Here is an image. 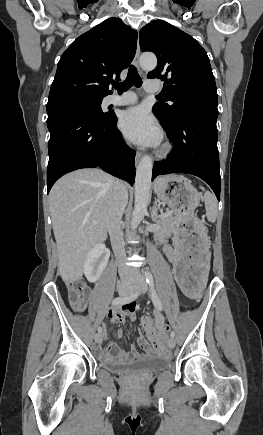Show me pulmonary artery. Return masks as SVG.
I'll return each instance as SVG.
<instances>
[{"instance_id": "pulmonary-artery-1", "label": "pulmonary artery", "mask_w": 263, "mask_h": 435, "mask_svg": "<svg viewBox=\"0 0 263 435\" xmlns=\"http://www.w3.org/2000/svg\"><path fill=\"white\" fill-rule=\"evenodd\" d=\"M145 90L148 93H156L160 91V84L155 80H148L145 83ZM137 101V97L133 93H126L121 96L110 95L105 99L106 104L109 105H129L134 104Z\"/></svg>"}]
</instances>
